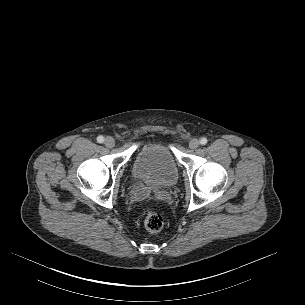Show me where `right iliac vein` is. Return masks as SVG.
<instances>
[{"mask_svg":"<svg viewBox=\"0 0 305 305\" xmlns=\"http://www.w3.org/2000/svg\"><path fill=\"white\" fill-rule=\"evenodd\" d=\"M104 144L108 148H112L115 146V141L112 137H107L104 141Z\"/></svg>","mask_w":305,"mask_h":305,"instance_id":"right-iliac-vein-1","label":"right iliac vein"}]
</instances>
